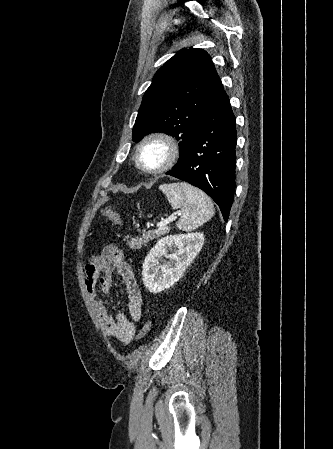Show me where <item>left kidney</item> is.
Instances as JSON below:
<instances>
[{"label": "left kidney", "mask_w": 333, "mask_h": 449, "mask_svg": "<svg viewBox=\"0 0 333 449\" xmlns=\"http://www.w3.org/2000/svg\"><path fill=\"white\" fill-rule=\"evenodd\" d=\"M204 244L203 233L170 235L160 239L146 256L142 266L145 287L153 293L174 285L197 256ZM168 258L167 264L159 261Z\"/></svg>", "instance_id": "left-kidney-1"}]
</instances>
